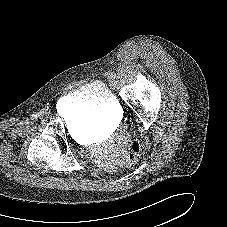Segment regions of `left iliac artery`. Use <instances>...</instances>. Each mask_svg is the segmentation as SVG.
Listing matches in <instances>:
<instances>
[{
  "mask_svg": "<svg viewBox=\"0 0 227 227\" xmlns=\"http://www.w3.org/2000/svg\"><path fill=\"white\" fill-rule=\"evenodd\" d=\"M109 76H110L111 78H116V73L110 72V73H109Z\"/></svg>",
  "mask_w": 227,
  "mask_h": 227,
  "instance_id": "left-iliac-artery-1",
  "label": "left iliac artery"
}]
</instances>
